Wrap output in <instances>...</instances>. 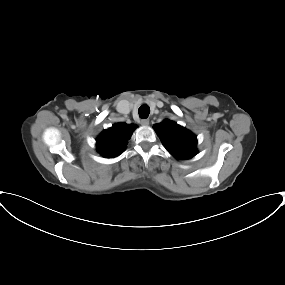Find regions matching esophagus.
<instances>
[{"label":"esophagus","instance_id":"esophagus-1","mask_svg":"<svg viewBox=\"0 0 285 285\" xmlns=\"http://www.w3.org/2000/svg\"><path fill=\"white\" fill-rule=\"evenodd\" d=\"M140 123L143 126H148L149 125V119H142Z\"/></svg>","mask_w":285,"mask_h":285}]
</instances>
